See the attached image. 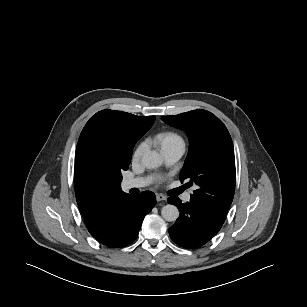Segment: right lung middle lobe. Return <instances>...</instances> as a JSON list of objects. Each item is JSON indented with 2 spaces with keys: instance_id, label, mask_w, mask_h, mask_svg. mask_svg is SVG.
Here are the masks:
<instances>
[{
  "instance_id": "dd1d6c3e",
  "label": "right lung middle lobe",
  "mask_w": 307,
  "mask_h": 307,
  "mask_svg": "<svg viewBox=\"0 0 307 307\" xmlns=\"http://www.w3.org/2000/svg\"><path fill=\"white\" fill-rule=\"evenodd\" d=\"M140 138L141 136L128 130L107 135L100 144L103 164L122 178L121 171L128 169L133 147Z\"/></svg>"
}]
</instances>
